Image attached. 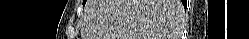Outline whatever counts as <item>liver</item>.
<instances>
[{"mask_svg":"<svg viewBox=\"0 0 249 39\" xmlns=\"http://www.w3.org/2000/svg\"><path fill=\"white\" fill-rule=\"evenodd\" d=\"M172 29L173 0H97L85 9L81 37L167 39Z\"/></svg>","mask_w":249,"mask_h":39,"instance_id":"liver-1","label":"liver"}]
</instances>
